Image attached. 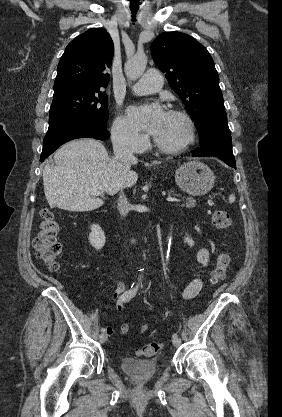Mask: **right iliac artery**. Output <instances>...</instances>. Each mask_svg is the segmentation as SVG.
<instances>
[{
	"mask_svg": "<svg viewBox=\"0 0 282 417\" xmlns=\"http://www.w3.org/2000/svg\"><path fill=\"white\" fill-rule=\"evenodd\" d=\"M138 290V285L134 286L132 285L131 289H129L128 291H126L123 295H122V301L128 302L130 301L137 293ZM101 331L104 333L105 332V328H102Z\"/></svg>",
	"mask_w": 282,
	"mask_h": 417,
	"instance_id": "1",
	"label": "right iliac artery"
}]
</instances>
